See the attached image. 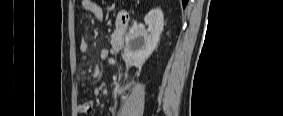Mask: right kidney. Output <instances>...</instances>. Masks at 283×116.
<instances>
[{
  "instance_id": "ca27d5eb",
  "label": "right kidney",
  "mask_w": 283,
  "mask_h": 116,
  "mask_svg": "<svg viewBox=\"0 0 283 116\" xmlns=\"http://www.w3.org/2000/svg\"><path fill=\"white\" fill-rule=\"evenodd\" d=\"M148 29L132 30L126 38L123 57L126 60L142 63L156 49L164 26V17L160 9H152L144 18Z\"/></svg>"
}]
</instances>
